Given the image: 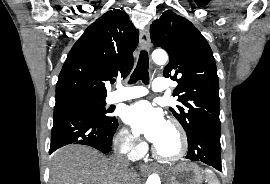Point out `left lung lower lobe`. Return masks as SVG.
Here are the masks:
<instances>
[{
	"mask_svg": "<svg viewBox=\"0 0 270 184\" xmlns=\"http://www.w3.org/2000/svg\"><path fill=\"white\" fill-rule=\"evenodd\" d=\"M186 158L201 161L222 171L220 134L198 131L191 139H188Z\"/></svg>",
	"mask_w": 270,
	"mask_h": 184,
	"instance_id": "0a47b994",
	"label": "left lung lower lobe"
}]
</instances>
